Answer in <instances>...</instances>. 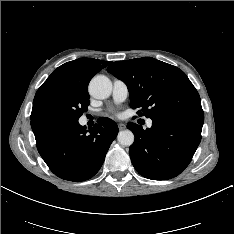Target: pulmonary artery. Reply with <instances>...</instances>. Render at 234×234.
<instances>
[{
	"label": "pulmonary artery",
	"instance_id": "pulmonary-artery-1",
	"mask_svg": "<svg viewBox=\"0 0 234 234\" xmlns=\"http://www.w3.org/2000/svg\"><path fill=\"white\" fill-rule=\"evenodd\" d=\"M129 90L127 84L120 79H116L113 81V99L117 103H121L126 100L128 97ZM147 125L150 127L152 125V120L147 121Z\"/></svg>",
	"mask_w": 234,
	"mask_h": 234
}]
</instances>
